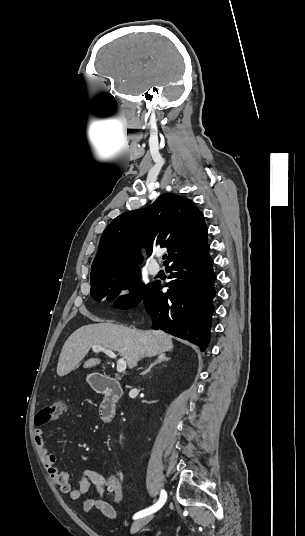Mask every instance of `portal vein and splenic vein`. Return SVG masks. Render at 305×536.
Listing matches in <instances>:
<instances>
[{
    "instance_id": "obj_1",
    "label": "portal vein and splenic vein",
    "mask_w": 305,
    "mask_h": 536,
    "mask_svg": "<svg viewBox=\"0 0 305 536\" xmlns=\"http://www.w3.org/2000/svg\"><path fill=\"white\" fill-rule=\"evenodd\" d=\"M92 352H104L106 356H109V358H117L116 354L112 352V350H106V348H103V346H92ZM126 362L125 360H118L117 362V372H124L126 370Z\"/></svg>"
}]
</instances>
